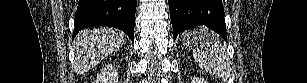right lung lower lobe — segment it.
Returning a JSON list of instances; mask_svg holds the SVG:
<instances>
[{
	"label": "right lung lower lobe",
	"mask_w": 307,
	"mask_h": 83,
	"mask_svg": "<svg viewBox=\"0 0 307 83\" xmlns=\"http://www.w3.org/2000/svg\"><path fill=\"white\" fill-rule=\"evenodd\" d=\"M136 5L137 0H79L73 36L86 28L111 26L134 41Z\"/></svg>",
	"instance_id": "right-lung-lower-lobe-1"
}]
</instances>
